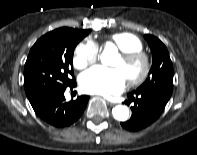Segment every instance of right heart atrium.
<instances>
[{
  "label": "right heart atrium",
  "instance_id": "d8ad5b80",
  "mask_svg": "<svg viewBox=\"0 0 197 155\" xmlns=\"http://www.w3.org/2000/svg\"><path fill=\"white\" fill-rule=\"evenodd\" d=\"M99 58L98 45L90 40L79 43L74 51L73 66L82 70L94 64Z\"/></svg>",
  "mask_w": 197,
  "mask_h": 155
}]
</instances>
